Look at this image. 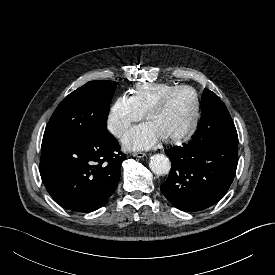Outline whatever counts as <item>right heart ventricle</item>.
Masks as SVG:
<instances>
[{"instance_id": "right-heart-ventricle-1", "label": "right heart ventricle", "mask_w": 275, "mask_h": 275, "mask_svg": "<svg viewBox=\"0 0 275 275\" xmlns=\"http://www.w3.org/2000/svg\"><path fill=\"white\" fill-rule=\"evenodd\" d=\"M173 87L175 85L169 83H140L130 90V98L144 115L163 93Z\"/></svg>"}]
</instances>
